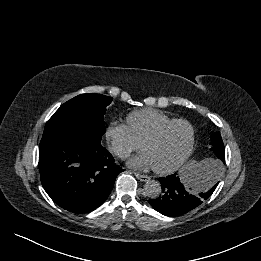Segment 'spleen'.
Segmentation results:
<instances>
[{"mask_svg": "<svg viewBox=\"0 0 261 261\" xmlns=\"http://www.w3.org/2000/svg\"><path fill=\"white\" fill-rule=\"evenodd\" d=\"M201 164H188L186 167L182 169L180 172L182 182L186 185V187H192L194 186L196 176L201 169Z\"/></svg>", "mask_w": 261, "mask_h": 261, "instance_id": "spleen-1", "label": "spleen"}]
</instances>
